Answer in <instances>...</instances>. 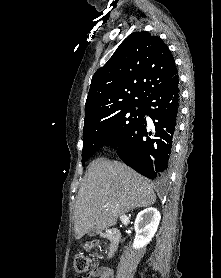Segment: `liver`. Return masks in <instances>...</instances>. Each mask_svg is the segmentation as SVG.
<instances>
[{
  "instance_id": "6515ba94",
  "label": "liver",
  "mask_w": 221,
  "mask_h": 278,
  "mask_svg": "<svg viewBox=\"0 0 221 278\" xmlns=\"http://www.w3.org/2000/svg\"><path fill=\"white\" fill-rule=\"evenodd\" d=\"M156 201L152 184L118 161L98 158L89 165L74 207L75 238L116 225L130 210ZM108 204V206H105Z\"/></svg>"
}]
</instances>
